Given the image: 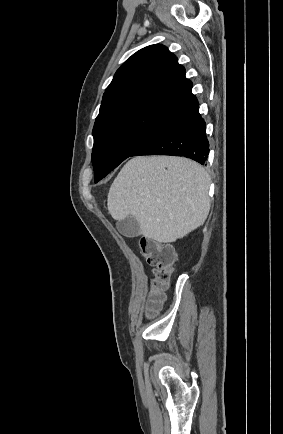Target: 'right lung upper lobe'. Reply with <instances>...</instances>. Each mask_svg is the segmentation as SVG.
Returning a JSON list of instances; mask_svg holds the SVG:
<instances>
[{
  "label": "right lung upper lobe",
  "mask_w": 283,
  "mask_h": 434,
  "mask_svg": "<svg viewBox=\"0 0 283 434\" xmlns=\"http://www.w3.org/2000/svg\"><path fill=\"white\" fill-rule=\"evenodd\" d=\"M198 105L185 68L163 45L147 46L117 70L95 125L119 115L149 113L173 120Z\"/></svg>",
  "instance_id": "right-lung-upper-lobe-1"
}]
</instances>
